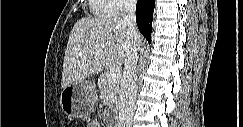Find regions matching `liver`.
Instances as JSON below:
<instances>
[{
    "label": "liver",
    "mask_w": 243,
    "mask_h": 127,
    "mask_svg": "<svg viewBox=\"0 0 243 127\" xmlns=\"http://www.w3.org/2000/svg\"><path fill=\"white\" fill-rule=\"evenodd\" d=\"M119 19L81 18L73 26L65 50L61 86L84 81L104 68H120L130 47L141 44Z\"/></svg>",
    "instance_id": "6515ba94"
}]
</instances>
